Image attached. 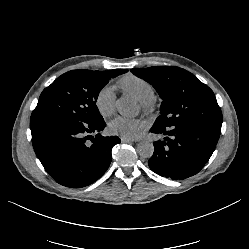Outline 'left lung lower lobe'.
Here are the masks:
<instances>
[{"label":"left lung lower lobe","instance_id":"1","mask_svg":"<svg viewBox=\"0 0 249 249\" xmlns=\"http://www.w3.org/2000/svg\"><path fill=\"white\" fill-rule=\"evenodd\" d=\"M222 123L193 121L170 127L153 125L152 133L163 134L154 142L150 169L160 176L182 180L197 174L211 157L218 142Z\"/></svg>","mask_w":249,"mask_h":249}]
</instances>
